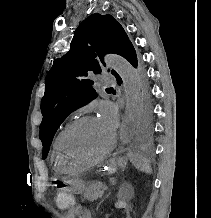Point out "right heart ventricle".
<instances>
[{
    "label": "right heart ventricle",
    "instance_id": "obj_1",
    "mask_svg": "<svg viewBox=\"0 0 211 218\" xmlns=\"http://www.w3.org/2000/svg\"><path fill=\"white\" fill-rule=\"evenodd\" d=\"M71 120H66L57 131L54 143H53V159L59 158V153L61 150V142L62 136L70 125ZM49 165H51V169H66V164H61V160H49Z\"/></svg>",
    "mask_w": 211,
    "mask_h": 218
}]
</instances>
